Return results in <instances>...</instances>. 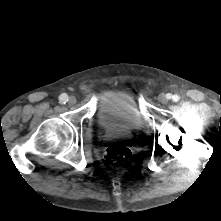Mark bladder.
Masks as SVG:
<instances>
[{"instance_id": "obj_1", "label": "bladder", "mask_w": 221, "mask_h": 221, "mask_svg": "<svg viewBox=\"0 0 221 221\" xmlns=\"http://www.w3.org/2000/svg\"><path fill=\"white\" fill-rule=\"evenodd\" d=\"M96 123L104 133H133L144 127V117L127 91H108L102 95L96 110Z\"/></svg>"}]
</instances>
